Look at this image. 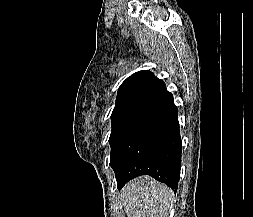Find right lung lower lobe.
Returning a JSON list of instances; mask_svg holds the SVG:
<instances>
[{
  "label": "right lung lower lobe",
  "instance_id": "right-lung-lower-lobe-1",
  "mask_svg": "<svg viewBox=\"0 0 253 217\" xmlns=\"http://www.w3.org/2000/svg\"><path fill=\"white\" fill-rule=\"evenodd\" d=\"M178 109L165 92L126 131L110 158L117 187L150 175L177 190L181 168Z\"/></svg>",
  "mask_w": 253,
  "mask_h": 217
}]
</instances>
